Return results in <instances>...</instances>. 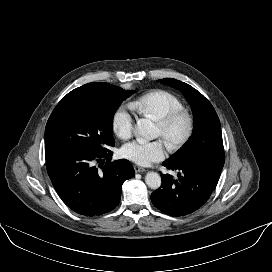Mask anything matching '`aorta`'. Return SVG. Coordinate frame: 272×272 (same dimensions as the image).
I'll return each mask as SVG.
<instances>
[{
  "label": "aorta",
  "mask_w": 272,
  "mask_h": 272,
  "mask_svg": "<svg viewBox=\"0 0 272 272\" xmlns=\"http://www.w3.org/2000/svg\"><path fill=\"white\" fill-rule=\"evenodd\" d=\"M135 132L145 140H153L157 137V128L148 119H140L135 126ZM145 182L149 188L158 189L161 186V177L156 172H149L145 176Z\"/></svg>",
  "instance_id": "aorta-1"
}]
</instances>
